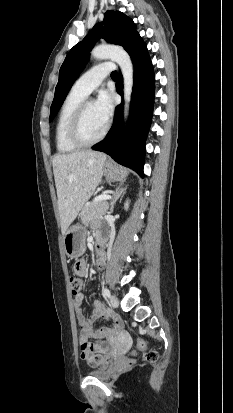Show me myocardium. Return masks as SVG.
I'll list each match as a JSON object with an SVG mask.
<instances>
[{
	"label": "myocardium",
	"instance_id": "obj_1",
	"mask_svg": "<svg viewBox=\"0 0 233 413\" xmlns=\"http://www.w3.org/2000/svg\"><path fill=\"white\" fill-rule=\"evenodd\" d=\"M91 102L92 101L90 100H84L81 102V104L78 106V108L74 112L73 117L68 127L69 139L73 144H75L78 147H89V146L97 144L98 142L102 141L105 138L109 130V125L106 123L104 130L98 137L91 139V140H87L83 137L82 124H83L87 106Z\"/></svg>",
	"mask_w": 233,
	"mask_h": 413
}]
</instances>
